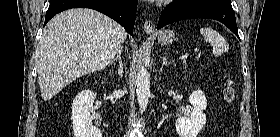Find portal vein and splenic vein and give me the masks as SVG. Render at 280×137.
<instances>
[{
    "mask_svg": "<svg viewBox=\"0 0 280 137\" xmlns=\"http://www.w3.org/2000/svg\"><path fill=\"white\" fill-rule=\"evenodd\" d=\"M187 58H188V55H184V56L181 57V59H183V60H185Z\"/></svg>",
    "mask_w": 280,
    "mask_h": 137,
    "instance_id": "obj_1",
    "label": "portal vein and splenic vein"
}]
</instances>
